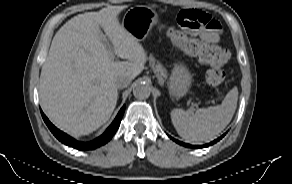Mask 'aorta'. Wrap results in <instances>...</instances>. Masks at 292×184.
Wrapping results in <instances>:
<instances>
[{"mask_svg":"<svg viewBox=\"0 0 292 184\" xmlns=\"http://www.w3.org/2000/svg\"><path fill=\"white\" fill-rule=\"evenodd\" d=\"M151 94V87L144 81H138L133 86V95L137 99H147Z\"/></svg>","mask_w":292,"mask_h":184,"instance_id":"1","label":"aorta"}]
</instances>
